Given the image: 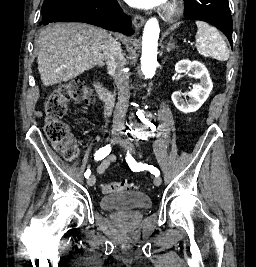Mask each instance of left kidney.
I'll return each instance as SVG.
<instances>
[{
  "label": "left kidney",
  "mask_w": 256,
  "mask_h": 267,
  "mask_svg": "<svg viewBox=\"0 0 256 267\" xmlns=\"http://www.w3.org/2000/svg\"><path fill=\"white\" fill-rule=\"evenodd\" d=\"M175 72L177 74H186V72H192L193 76L191 78H196V80H200L199 84H194L193 90L191 92H173L171 98L174 106L180 110V112H184V114H188V112H196L199 110L200 106L206 102L212 88V80L210 78V74L201 62H190V60H180L177 62L175 66ZM182 96H189L190 100H183Z\"/></svg>",
  "instance_id": "1"
}]
</instances>
